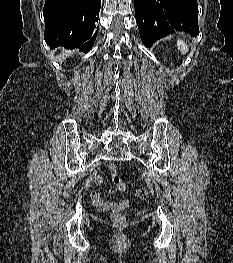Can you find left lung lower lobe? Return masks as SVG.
<instances>
[{
	"mask_svg": "<svg viewBox=\"0 0 233 263\" xmlns=\"http://www.w3.org/2000/svg\"><path fill=\"white\" fill-rule=\"evenodd\" d=\"M136 22L146 47L175 30L199 34L197 0H135Z\"/></svg>",
	"mask_w": 233,
	"mask_h": 263,
	"instance_id": "1",
	"label": "left lung lower lobe"
}]
</instances>
